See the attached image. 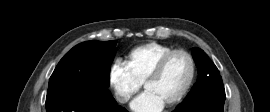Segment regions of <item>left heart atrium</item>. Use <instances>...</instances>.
<instances>
[{
	"label": "left heart atrium",
	"mask_w": 270,
	"mask_h": 112,
	"mask_svg": "<svg viewBox=\"0 0 270 112\" xmlns=\"http://www.w3.org/2000/svg\"><path fill=\"white\" fill-rule=\"evenodd\" d=\"M165 104L153 93L145 91L131 103L134 112H161Z\"/></svg>",
	"instance_id": "1"
}]
</instances>
